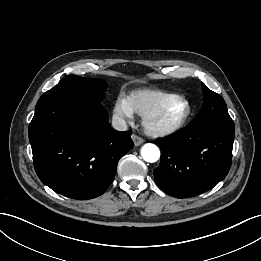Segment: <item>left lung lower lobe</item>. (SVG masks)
Listing matches in <instances>:
<instances>
[{"mask_svg":"<svg viewBox=\"0 0 261 261\" xmlns=\"http://www.w3.org/2000/svg\"><path fill=\"white\" fill-rule=\"evenodd\" d=\"M235 136L233 121L188 125L158 139L161 162L154 178L161 189L177 197L203 193L229 172Z\"/></svg>","mask_w":261,"mask_h":261,"instance_id":"0a47b994","label":"left lung lower lobe"}]
</instances>
